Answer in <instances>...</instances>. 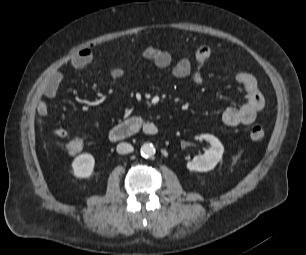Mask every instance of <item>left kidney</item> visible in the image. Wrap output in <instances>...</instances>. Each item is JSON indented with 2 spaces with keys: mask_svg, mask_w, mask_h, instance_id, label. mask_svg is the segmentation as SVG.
I'll use <instances>...</instances> for the list:
<instances>
[{
  "mask_svg": "<svg viewBox=\"0 0 306 255\" xmlns=\"http://www.w3.org/2000/svg\"><path fill=\"white\" fill-rule=\"evenodd\" d=\"M200 138L206 140L211 147L203 155L194 157L186 164V167L190 171L207 172L214 169L222 159L224 147L220 140L213 135L202 134Z\"/></svg>",
  "mask_w": 306,
  "mask_h": 255,
  "instance_id": "obj_1",
  "label": "left kidney"
}]
</instances>
